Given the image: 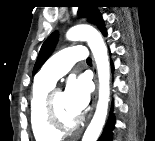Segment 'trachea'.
<instances>
[{
    "mask_svg": "<svg viewBox=\"0 0 155 141\" xmlns=\"http://www.w3.org/2000/svg\"><path fill=\"white\" fill-rule=\"evenodd\" d=\"M86 61H87V63H91L92 59L90 57H88Z\"/></svg>",
    "mask_w": 155,
    "mask_h": 141,
    "instance_id": "trachea-1",
    "label": "trachea"
}]
</instances>
